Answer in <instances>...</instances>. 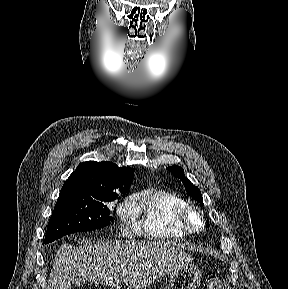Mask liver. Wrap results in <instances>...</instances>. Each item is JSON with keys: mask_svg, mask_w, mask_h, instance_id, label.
Listing matches in <instances>:
<instances>
[{"mask_svg": "<svg viewBox=\"0 0 288 289\" xmlns=\"http://www.w3.org/2000/svg\"><path fill=\"white\" fill-rule=\"evenodd\" d=\"M192 260L170 242L101 240L79 247L64 243L56 252L47 289H70L72 272L94 284L118 289L124 282L142 289Z\"/></svg>", "mask_w": 288, "mask_h": 289, "instance_id": "1", "label": "liver"}]
</instances>
